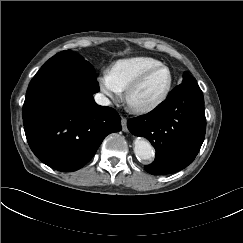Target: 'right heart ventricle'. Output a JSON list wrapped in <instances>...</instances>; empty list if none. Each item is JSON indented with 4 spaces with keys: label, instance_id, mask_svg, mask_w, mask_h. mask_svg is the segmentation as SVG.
Returning a JSON list of instances; mask_svg holds the SVG:
<instances>
[{
    "label": "right heart ventricle",
    "instance_id": "right-heart-ventricle-1",
    "mask_svg": "<svg viewBox=\"0 0 243 243\" xmlns=\"http://www.w3.org/2000/svg\"><path fill=\"white\" fill-rule=\"evenodd\" d=\"M161 64L151 57H132L118 60L108 72L113 85L121 92L145 70Z\"/></svg>",
    "mask_w": 243,
    "mask_h": 243
}]
</instances>
